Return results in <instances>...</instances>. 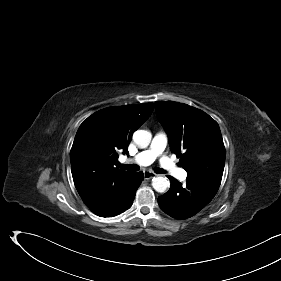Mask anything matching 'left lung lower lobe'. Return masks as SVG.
I'll return each mask as SVG.
<instances>
[{
    "label": "left lung lower lobe",
    "instance_id": "1",
    "mask_svg": "<svg viewBox=\"0 0 281 281\" xmlns=\"http://www.w3.org/2000/svg\"><path fill=\"white\" fill-rule=\"evenodd\" d=\"M171 187L167 193L158 197L163 212L176 219H187L202 210L215 196L219 187L200 177L187 176L181 184L168 176Z\"/></svg>",
    "mask_w": 281,
    "mask_h": 281
}]
</instances>
